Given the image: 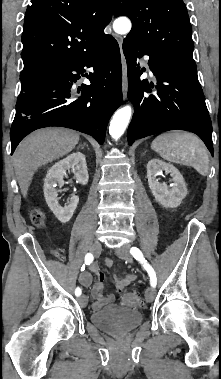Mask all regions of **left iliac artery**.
I'll use <instances>...</instances> for the list:
<instances>
[{
    "instance_id": "left-iliac-artery-1",
    "label": "left iliac artery",
    "mask_w": 221,
    "mask_h": 379,
    "mask_svg": "<svg viewBox=\"0 0 221 379\" xmlns=\"http://www.w3.org/2000/svg\"><path fill=\"white\" fill-rule=\"evenodd\" d=\"M130 253L137 261H139L143 265V267L147 271V273L150 277L151 286L156 287V284H157L156 273H155L154 269L152 268V266L146 261V259L143 256V253L140 251V249H138L136 247H132L130 249Z\"/></svg>"
}]
</instances>
